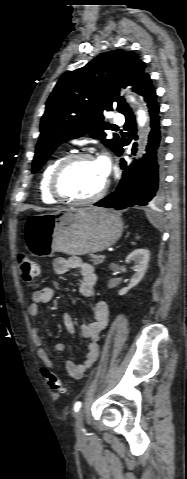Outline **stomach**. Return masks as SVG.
Masks as SVG:
<instances>
[{
  "label": "stomach",
  "instance_id": "stomach-1",
  "mask_svg": "<svg viewBox=\"0 0 187 479\" xmlns=\"http://www.w3.org/2000/svg\"><path fill=\"white\" fill-rule=\"evenodd\" d=\"M122 232L123 222L117 214L93 206L35 214L24 225L26 245L37 257H48L54 252H100L115 244Z\"/></svg>",
  "mask_w": 187,
  "mask_h": 479
}]
</instances>
